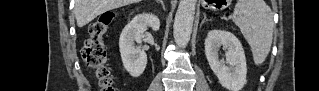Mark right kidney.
<instances>
[{
  "mask_svg": "<svg viewBox=\"0 0 319 91\" xmlns=\"http://www.w3.org/2000/svg\"><path fill=\"white\" fill-rule=\"evenodd\" d=\"M151 27L154 31L159 30L160 21L154 14H139L127 24L119 39V49L121 59L126 71L132 77H139L143 74L146 64L147 55L141 50L140 46H135V42L141 44L143 33Z\"/></svg>",
  "mask_w": 319,
  "mask_h": 91,
  "instance_id": "obj_1",
  "label": "right kidney"
}]
</instances>
